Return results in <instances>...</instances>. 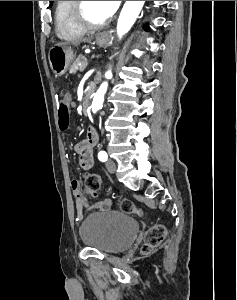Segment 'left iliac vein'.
<instances>
[{
  "instance_id": "obj_1",
  "label": "left iliac vein",
  "mask_w": 237,
  "mask_h": 300,
  "mask_svg": "<svg viewBox=\"0 0 237 300\" xmlns=\"http://www.w3.org/2000/svg\"><path fill=\"white\" fill-rule=\"evenodd\" d=\"M106 167L109 173L113 174L116 171V164L113 160L109 159L106 163Z\"/></svg>"
}]
</instances>
